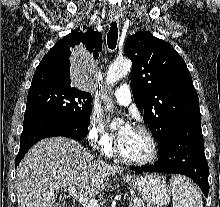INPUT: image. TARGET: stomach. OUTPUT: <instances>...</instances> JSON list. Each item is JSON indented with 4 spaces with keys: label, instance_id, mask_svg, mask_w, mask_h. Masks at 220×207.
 Returning <instances> with one entry per match:
<instances>
[{
    "label": "stomach",
    "instance_id": "stomach-1",
    "mask_svg": "<svg viewBox=\"0 0 220 207\" xmlns=\"http://www.w3.org/2000/svg\"><path fill=\"white\" fill-rule=\"evenodd\" d=\"M123 180L138 191L147 202L162 207L170 202L171 187L158 174L123 176Z\"/></svg>",
    "mask_w": 220,
    "mask_h": 207
}]
</instances>
